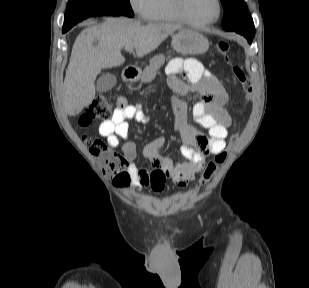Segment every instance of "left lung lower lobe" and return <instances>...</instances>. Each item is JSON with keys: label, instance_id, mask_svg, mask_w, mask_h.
I'll return each instance as SVG.
<instances>
[{"label": "left lung lower lobe", "instance_id": "obj_1", "mask_svg": "<svg viewBox=\"0 0 309 288\" xmlns=\"http://www.w3.org/2000/svg\"><path fill=\"white\" fill-rule=\"evenodd\" d=\"M228 31H235L237 33L242 34L243 36L247 38L249 43L252 42L253 37L255 35V27H254L253 22L234 27Z\"/></svg>", "mask_w": 309, "mask_h": 288}]
</instances>
